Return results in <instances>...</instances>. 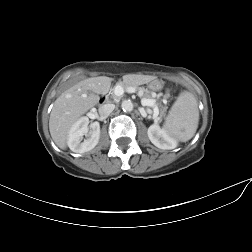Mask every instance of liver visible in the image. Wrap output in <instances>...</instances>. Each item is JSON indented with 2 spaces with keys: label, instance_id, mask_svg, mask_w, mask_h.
Listing matches in <instances>:
<instances>
[{
  "label": "liver",
  "instance_id": "liver-1",
  "mask_svg": "<svg viewBox=\"0 0 252 252\" xmlns=\"http://www.w3.org/2000/svg\"><path fill=\"white\" fill-rule=\"evenodd\" d=\"M153 79L148 75L128 74L123 76L125 86H138ZM112 78L106 76L87 78L68 88L55 101L49 119V131L55 144L66 149L68 133L72 125L95 106L99 97L106 93Z\"/></svg>",
  "mask_w": 252,
  "mask_h": 252
}]
</instances>
